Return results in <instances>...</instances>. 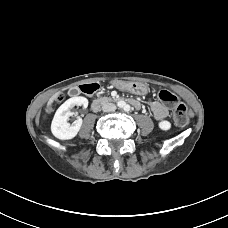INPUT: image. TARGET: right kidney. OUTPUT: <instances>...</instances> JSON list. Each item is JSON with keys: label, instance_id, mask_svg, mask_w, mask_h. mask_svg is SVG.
<instances>
[{"label": "right kidney", "instance_id": "right-kidney-1", "mask_svg": "<svg viewBox=\"0 0 228 228\" xmlns=\"http://www.w3.org/2000/svg\"><path fill=\"white\" fill-rule=\"evenodd\" d=\"M75 105L87 108L88 100L81 96L72 97L58 108L51 124V132L56 138L70 140L78 134L82 126V119L78 117L74 122H68L69 117L73 115L70 109Z\"/></svg>", "mask_w": 228, "mask_h": 228}]
</instances>
